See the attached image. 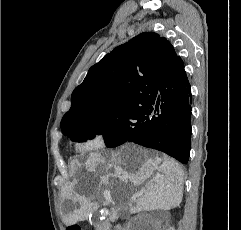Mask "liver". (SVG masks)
Instances as JSON below:
<instances>
[{"label": "liver", "mask_w": 241, "mask_h": 230, "mask_svg": "<svg viewBox=\"0 0 241 230\" xmlns=\"http://www.w3.org/2000/svg\"><path fill=\"white\" fill-rule=\"evenodd\" d=\"M76 177L63 188V200L78 201L79 206L73 212L62 213V221L66 225H74L88 218L89 214L98 209V203L92 201L99 195L102 185L107 186L104 194L120 202L122 195L116 193L110 186V179H118L124 183L131 182L134 186L143 185L128 203L130 213L140 210H170L180 205L183 197L184 172L175 160L126 144L118 151L106 153H90L84 164H78ZM99 179L96 190L86 194L88 197H78L77 191L84 190L87 177ZM134 203V205H133Z\"/></svg>", "instance_id": "obj_1"}]
</instances>
